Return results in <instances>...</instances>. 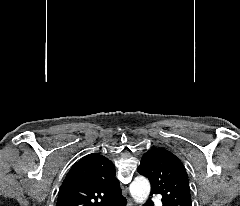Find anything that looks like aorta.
I'll return each instance as SVG.
<instances>
[{
    "instance_id": "1",
    "label": "aorta",
    "mask_w": 240,
    "mask_h": 206,
    "mask_svg": "<svg viewBox=\"0 0 240 206\" xmlns=\"http://www.w3.org/2000/svg\"><path fill=\"white\" fill-rule=\"evenodd\" d=\"M129 190L134 201L142 205L150 194V183L145 177L139 176L130 184Z\"/></svg>"
}]
</instances>
